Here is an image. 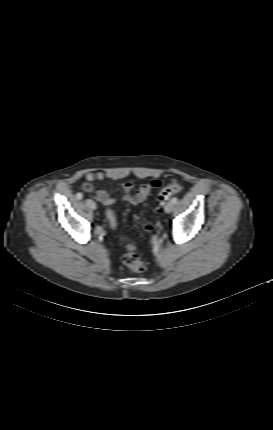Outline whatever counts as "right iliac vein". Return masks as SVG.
<instances>
[{
	"label": "right iliac vein",
	"instance_id": "obj_1",
	"mask_svg": "<svg viewBox=\"0 0 273 430\" xmlns=\"http://www.w3.org/2000/svg\"><path fill=\"white\" fill-rule=\"evenodd\" d=\"M86 204L92 210H95L97 208L96 203L94 201L90 200V199L86 200Z\"/></svg>",
	"mask_w": 273,
	"mask_h": 430
}]
</instances>
